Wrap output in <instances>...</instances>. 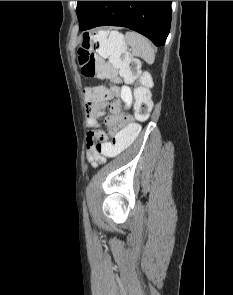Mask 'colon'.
<instances>
[{"label": "colon", "mask_w": 233, "mask_h": 295, "mask_svg": "<svg viewBox=\"0 0 233 295\" xmlns=\"http://www.w3.org/2000/svg\"><path fill=\"white\" fill-rule=\"evenodd\" d=\"M78 62L81 73L88 78H122L134 82L140 73V63L127 51L123 36L118 32L99 31L85 33L78 48ZM108 90L117 88L89 86L84 89L86 97H100ZM152 109L150 93L145 87H138L135 93L134 113L137 122H132L121 130H113L111 142H95V148L107 157H114L129 148L140 135L139 122L148 120Z\"/></svg>", "instance_id": "5ec220e1"}]
</instances>
